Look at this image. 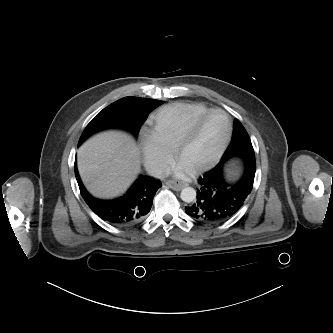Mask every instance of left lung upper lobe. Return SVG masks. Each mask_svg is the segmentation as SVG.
I'll list each match as a JSON object with an SVG mask.
<instances>
[{
  "mask_svg": "<svg viewBox=\"0 0 333 333\" xmlns=\"http://www.w3.org/2000/svg\"><path fill=\"white\" fill-rule=\"evenodd\" d=\"M245 155L255 156L248 133L239 120L236 119L231 143L226 149L221 161L240 158Z\"/></svg>",
  "mask_w": 333,
  "mask_h": 333,
  "instance_id": "left-lung-upper-lobe-1",
  "label": "left lung upper lobe"
}]
</instances>
